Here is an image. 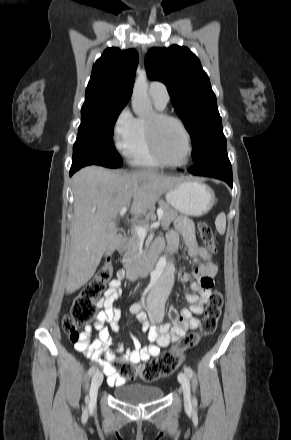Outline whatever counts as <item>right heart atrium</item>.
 I'll list each match as a JSON object with an SVG mask.
<instances>
[{
	"label": "right heart atrium",
	"instance_id": "d8ad5b80",
	"mask_svg": "<svg viewBox=\"0 0 291 440\" xmlns=\"http://www.w3.org/2000/svg\"><path fill=\"white\" fill-rule=\"evenodd\" d=\"M135 131V118L128 108H124L117 116L113 125V140L115 147L121 153H126Z\"/></svg>",
	"mask_w": 291,
	"mask_h": 440
}]
</instances>
